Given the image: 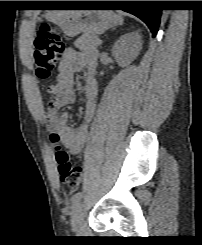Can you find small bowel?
Returning <instances> with one entry per match:
<instances>
[{
  "label": "small bowel",
  "instance_id": "c3829d8e",
  "mask_svg": "<svg viewBox=\"0 0 202 245\" xmlns=\"http://www.w3.org/2000/svg\"><path fill=\"white\" fill-rule=\"evenodd\" d=\"M84 70L87 73L83 86L85 95L84 121L79 128H74L69 125V114H60L59 110L75 101L74 77L76 73ZM95 73L96 57L94 55L89 56L75 48L66 49L59 64L56 84L52 88V98L47 104L44 118L48 128L59 133V142L71 154H78L84 148L87 141L88 124L96 112L99 88ZM59 142H55V147Z\"/></svg>",
  "mask_w": 202,
  "mask_h": 245
}]
</instances>
